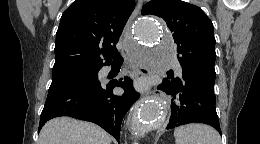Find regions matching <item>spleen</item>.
Listing matches in <instances>:
<instances>
[{
	"mask_svg": "<svg viewBox=\"0 0 260 144\" xmlns=\"http://www.w3.org/2000/svg\"><path fill=\"white\" fill-rule=\"evenodd\" d=\"M176 144H221L219 133L204 124H187L174 131Z\"/></svg>",
	"mask_w": 260,
	"mask_h": 144,
	"instance_id": "obj_1",
	"label": "spleen"
}]
</instances>
